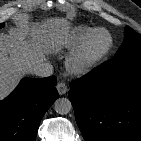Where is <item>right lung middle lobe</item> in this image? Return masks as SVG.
<instances>
[{
    "label": "right lung middle lobe",
    "instance_id": "1",
    "mask_svg": "<svg viewBox=\"0 0 141 141\" xmlns=\"http://www.w3.org/2000/svg\"><path fill=\"white\" fill-rule=\"evenodd\" d=\"M4 25H5L4 23H1V24H0V29H1L2 27H4Z\"/></svg>",
    "mask_w": 141,
    "mask_h": 141
}]
</instances>
